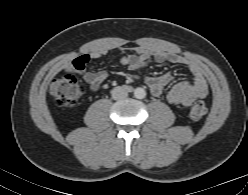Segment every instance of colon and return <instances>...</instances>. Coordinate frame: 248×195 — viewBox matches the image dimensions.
<instances>
[{"label":"colon","mask_w":248,"mask_h":195,"mask_svg":"<svg viewBox=\"0 0 248 195\" xmlns=\"http://www.w3.org/2000/svg\"><path fill=\"white\" fill-rule=\"evenodd\" d=\"M82 93V85L73 75H65L54 79L50 85V94L61 107H72L78 101ZM206 105L201 100L193 102L190 108V116L200 119L206 113Z\"/></svg>","instance_id":"obj_1"}]
</instances>
